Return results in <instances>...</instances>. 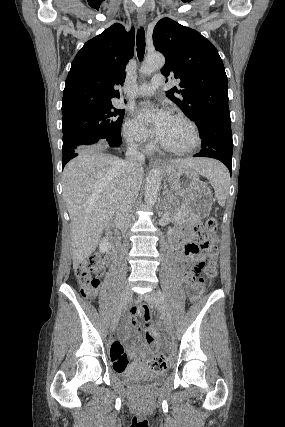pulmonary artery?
Segmentation results:
<instances>
[{
    "mask_svg": "<svg viewBox=\"0 0 285 427\" xmlns=\"http://www.w3.org/2000/svg\"><path fill=\"white\" fill-rule=\"evenodd\" d=\"M164 83V77L161 75H154L150 82L142 83L134 91V96H151L153 95L158 87Z\"/></svg>",
    "mask_w": 285,
    "mask_h": 427,
    "instance_id": "obj_1",
    "label": "pulmonary artery"
}]
</instances>
